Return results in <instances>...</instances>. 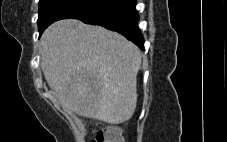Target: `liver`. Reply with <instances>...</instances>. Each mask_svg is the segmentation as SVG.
Returning <instances> with one entry per match:
<instances>
[{
  "label": "liver",
  "instance_id": "liver-1",
  "mask_svg": "<svg viewBox=\"0 0 227 142\" xmlns=\"http://www.w3.org/2000/svg\"><path fill=\"white\" fill-rule=\"evenodd\" d=\"M39 52L47 84L66 111L109 124L132 117L142 55L124 36L65 19L44 31Z\"/></svg>",
  "mask_w": 227,
  "mask_h": 142
}]
</instances>
